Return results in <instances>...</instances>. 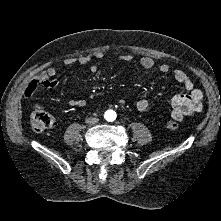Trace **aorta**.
<instances>
[{"label": "aorta", "instance_id": "obj_1", "mask_svg": "<svg viewBox=\"0 0 221 221\" xmlns=\"http://www.w3.org/2000/svg\"><path fill=\"white\" fill-rule=\"evenodd\" d=\"M116 118V113L113 110H108L105 113V119L108 121H113Z\"/></svg>", "mask_w": 221, "mask_h": 221}]
</instances>
